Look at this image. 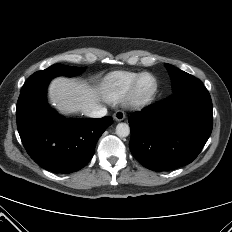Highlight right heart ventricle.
I'll use <instances>...</instances> for the list:
<instances>
[{
  "label": "right heart ventricle",
  "instance_id": "e07e8e85",
  "mask_svg": "<svg viewBox=\"0 0 232 232\" xmlns=\"http://www.w3.org/2000/svg\"><path fill=\"white\" fill-rule=\"evenodd\" d=\"M142 73L117 71L108 74L101 87L104 98L111 103L125 100L137 77Z\"/></svg>",
  "mask_w": 232,
  "mask_h": 232
}]
</instances>
